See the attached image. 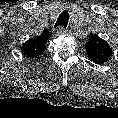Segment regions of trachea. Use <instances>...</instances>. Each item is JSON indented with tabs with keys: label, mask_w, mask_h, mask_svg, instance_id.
Listing matches in <instances>:
<instances>
[{
	"label": "trachea",
	"mask_w": 118,
	"mask_h": 118,
	"mask_svg": "<svg viewBox=\"0 0 118 118\" xmlns=\"http://www.w3.org/2000/svg\"><path fill=\"white\" fill-rule=\"evenodd\" d=\"M68 20H69V13L67 10H64L57 18V21H56L54 27L55 28L56 27H63L65 29L67 27Z\"/></svg>",
	"instance_id": "trachea-1"
}]
</instances>
